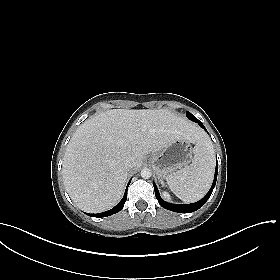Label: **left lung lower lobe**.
<instances>
[{"label": "left lung lower lobe", "mask_w": 280, "mask_h": 280, "mask_svg": "<svg viewBox=\"0 0 280 280\" xmlns=\"http://www.w3.org/2000/svg\"><path fill=\"white\" fill-rule=\"evenodd\" d=\"M191 120L195 121L196 123H199V125L203 129H205V131H207L206 128L202 125V123L198 119H195V117H192ZM217 173H218V163L216 164L214 180H213V184H212L209 192L205 195L204 198H202L198 202H195V203H192V204H182V205L168 203V202L162 200V198L159 195L158 189H157L156 185L154 184L155 196H156L159 204L162 207H164L165 209H168V210H171V211H174V212H179V213L194 212V211L198 210L199 208H201L206 203V201L209 199V197H210V195H211V193H212V191L215 187V184H216Z\"/></svg>", "instance_id": "left-lung-lower-lobe-1"}]
</instances>
